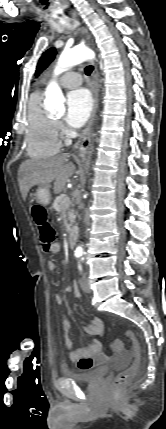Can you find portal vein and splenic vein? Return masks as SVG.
Segmentation results:
<instances>
[{"instance_id": "portal-vein-and-splenic-vein-1", "label": "portal vein and splenic vein", "mask_w": 166, "mask_h": 429, "mask_svg": "<svg viewBox=\"0 0 166 429\" xmlns=\"http://www.w3.org/2000/svg\"><path fill=\"white\" fill-rule=\"evenodd\" d=\"M69 200H70V199L67 197V198H66V201H69Z\"/></svg>"}]
</instances>
